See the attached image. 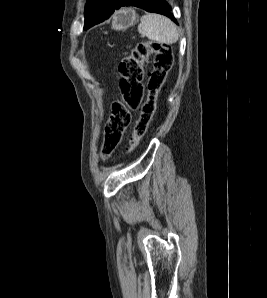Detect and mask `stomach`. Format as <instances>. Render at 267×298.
I'll return each instance as SVG.
<instances>
[{
  "label": "stomach",
  "instance_id": "obj_1",
  "mask_svg": "<svg viewBox=\"0 0 267 298\" xmlns=\"http://www.w3.org/2000/svg\"><path fill=\"white\" fill-rule=\"evenodd\" d=\"M137 21V15L132 9H121L112 16V29L125 30L133 26Z\"/></svg>",
  "mask_w": 267,
  "mask_h": 298
}]
</instances>
